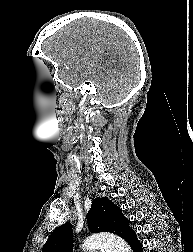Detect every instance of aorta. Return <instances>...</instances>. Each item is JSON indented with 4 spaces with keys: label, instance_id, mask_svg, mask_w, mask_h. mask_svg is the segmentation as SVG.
I'll use <instances>...</instances> for the list:
<instances>
[{
    "label": "aorta",
    "instance_id": "aorta-1",
    "mask_svg": "<svg viewBox=\"0 0 193 252\" xmlns=\"http://www.w3.org/2000/svg\"><path fill=\"white\" fill-rule=\"evenodd\" d=\"M82 247L89 252L95 249H101L102 252H131L126 241L111 234L92 235L84 241Z\"/></svg>",
    "mask_w": 193,
    "mask_h": 252
}]
</instances>
